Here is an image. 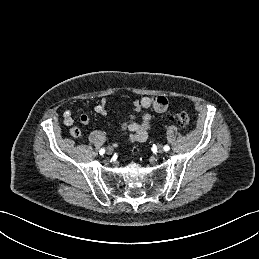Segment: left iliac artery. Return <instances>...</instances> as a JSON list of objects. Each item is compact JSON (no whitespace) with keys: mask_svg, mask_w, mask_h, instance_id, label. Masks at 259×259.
<instances>
[{"mask_svg":"<svg viewBox=\"0 0 259 259\" xmlns=\"http://www.w3.org/2000/svg\"><path fill=\"white\" fill-rule=\"evenodd\" d=\"M164 150H165V151H169V150H170V147H169L168 145H165V146H164Z\"/></svg>","mask_w":259,"mask_h":259,"instance_id":"1","label":"left iliac artery"}]
</instances>
